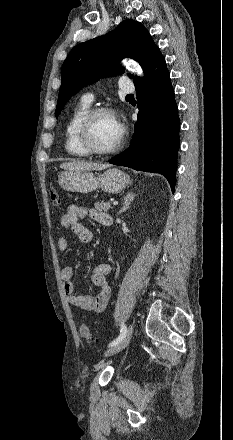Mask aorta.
Segmentation results:
<instances>
[{
  "label": "aorta",
  "mask_w": 233,
  "mask_h": 440,
  "mask_svg": "<svg viewBox=\"0 0 233 440\" xmlns=\"http://www.w3.org/2000/svg\"><path fill=\"white\" fill-rule=\"evenodd\" d=\"M125 64H126L127 68L131 72H133L134 74H136L138 76H142L143 75L140 66L137 63H135L134 61L129 60V61H126Z\"/></svg>",
  "instance_id": "obj_1"
}]
</instances>
